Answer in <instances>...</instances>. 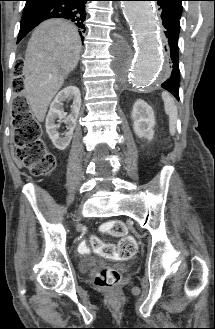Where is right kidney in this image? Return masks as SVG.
Masks as SVG:
<instances>
[{
  "label": "right kidney",
  "mask_w": 215,
  "mask_h": 329,
  "mask_svg": "<svg viewBox=\"0 0 215 329\" xmlns=\"http://www.w3.org/2000/svg\"><path fill=\"white\" fill-rule=\"evenodd\" d=\"M66 100H73L71 113L67 115L62 109V104ZM81 107V94L78 87L69 85L62 89L50 105V110L46 117V132L52 140L54 146L59 150H64L70 144L73 131L76 127L77 118ZM56 119L63 120L66 124L67 132L60 136L57 131Z\"/></svg>",
  "instance_id": "obj_1"
}]
</instances>
